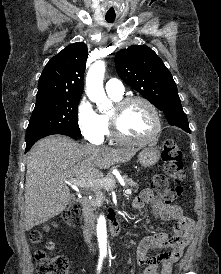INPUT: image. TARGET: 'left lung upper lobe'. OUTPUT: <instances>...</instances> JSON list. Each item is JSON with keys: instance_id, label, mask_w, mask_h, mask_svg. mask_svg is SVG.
<instances>
[{"instance_id": "5c2ea615", "label": "left lung upper lobe", "mask_w": 221, "mask_h": 274, "mask_svg": "<svg viewBox=\"0 0 221 274\" xmlns=\"http://www.w3.org/2000/svg\"><path fill=\"white\" fill-rule=\"evenodd\" d=\"M115 67L120 78L142 94L171 125H188L176 83L156 53L147 46L134 45L116 54Z\"/></svg>"}]
</instances>
